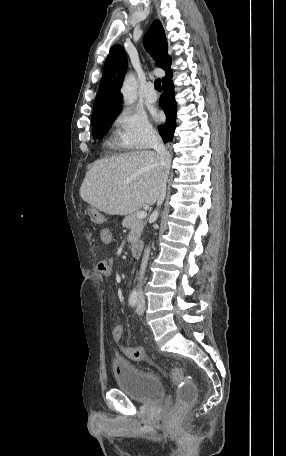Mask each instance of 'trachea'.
I'll return each instance as SVG.
<instances>
[{"instance_id":"trachea-1","label":"trachea","mask_w":286,"mask_h":456,"mask_svg":"<svg viewBox=\"0 0 286 456\" xmlns=\"http://www.w3.org/2000/svg\"><path fill=\"white\" fill-rule=\"evenodd\" d=\"M154 86L157 91H159V92L162 91L161 82H160L159 78L155 80Z\"/></svg>"}]
</instances>
